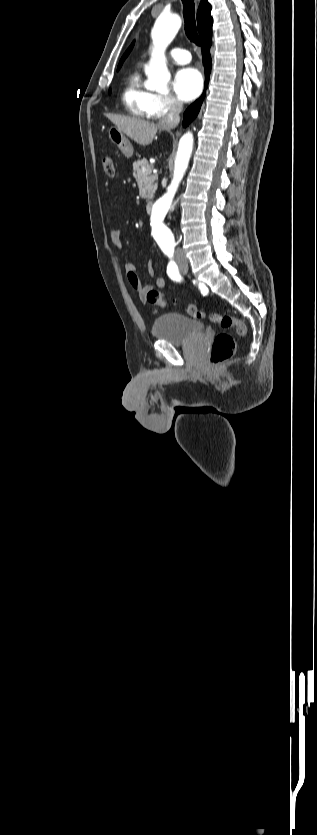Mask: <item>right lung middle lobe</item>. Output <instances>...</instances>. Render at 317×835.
I'll return each mask as SVG.
<instances>
[{
    "label": "right lung middle lobe",
    "instance_id": "right-lung-middle-lobe-1",
    "mask_svg": "<svg viewBox=\"0 0 317 835\" xmlns=\"http://www.w3.org/2000/svg\"><path fill=\"white\" fill-rule=\"evenodd\" d=\"M121 65H122V64H120V65L118 66L117 70H119V68L121 67ZM109 93H110V90H109Z\"/></svg>",
    "mask_w": 317,
    "mask_h": 835
}]
</instances>
